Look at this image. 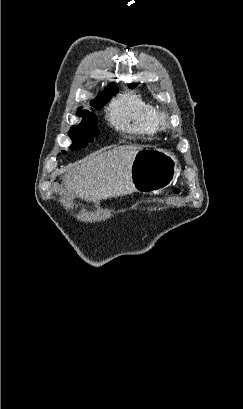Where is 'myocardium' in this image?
Returning <instances> with one entry per match:
<instances>
[{"label":"myocardium","instance_id":"obj_1","mask_svg":"<svg viewBox=\"0 0 243 409\" xmlns=\"http://www.w3.org/2000/svg\"><path fill=\"white\" fill-rule=\"evenodd\" d=\"M157 125L161 129H166L170 126L167 113L161 111L157 113Z\"/></svg>","mask_w":243,"mask_h":409}]
</instances>
